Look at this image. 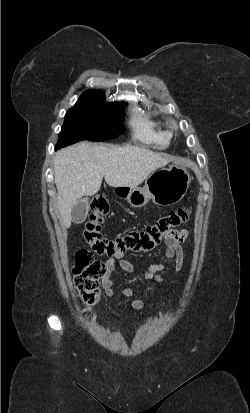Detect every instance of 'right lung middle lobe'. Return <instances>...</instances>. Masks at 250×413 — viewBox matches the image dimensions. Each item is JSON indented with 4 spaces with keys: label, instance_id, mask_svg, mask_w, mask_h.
I'll return each mask as SVG.
<instances>
[{
    "label": "right lung middle lobe",
    "instance_id": "1",
    "mask_svg": "<svg viewBox=\"0 0 250 413\" xmlns=\"http://www.w3.org/2000/svg\"><path fill=\"white\" fill-rule=\"evenodd\" d=\"M123 104L106 103L101 94L83 93L64 117V124L55 149L82 140L104 141L124 131Z\"/></svg>",
    "mask_w": 250,
    "mask_h": 413
}]
</instances>
